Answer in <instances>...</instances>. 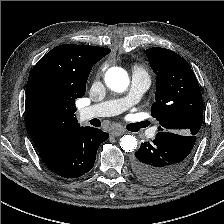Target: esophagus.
<instances>
[{
  "instance_id": "1",
  "label": "esophagus",
  "mask_w": 224,
  "mask_h": 224,
  "mask_svg": "<svg viewBox=\"0 0 224 224\" xmlns=\"http://www.w3.org/2000/svg\"><path fill=\"white\" fill-rule=\"evenodd\" d=\"M110 134L113 137H117V136L123 135L124 134V131L123 130H113V131H111Z\"/></svg>"
}]
</instances>
